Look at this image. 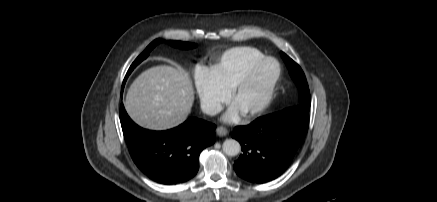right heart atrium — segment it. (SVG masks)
Returning a JSON list of instances; mask_svg holds the SVG:
<instances>
[{
	"label": "right heart atrium",
	"mask_w": 437,
	"mask_h": 202,
	"mask_svg": "<svg viewBox=\"0 0 437 202\" xmlns=\"http://www.w3.org/2000/svg\"><path fill=\"white\" fill-rule=\"evenodd\" d=\"M195 89L200 105L208 115L217 114L230 97V91L220 83L212 70L204 66L195 71Z\"/></svg>",
	"instance_id": "right-heart-atrium-1"
}]
</instances>
